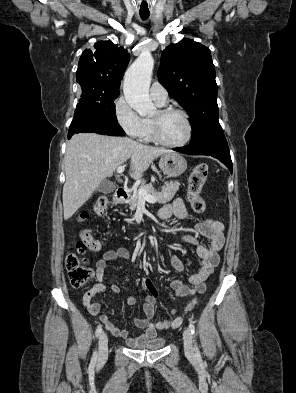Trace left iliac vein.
<instances>
[{
  "label": "left iliac vein",
  "mask_w": 296,
  "mask_h": 393,
  "mask_svg": "<svg viewBox=\"0 0 296 393\" xmlns=\"http://www.w3.org/2000/svg\"><path fill=\"white\" fill-rule=\"evenodd\" d=\"M183 340H184V349L186 355L192 356L194 354V351H193V343H192V333L189 329H186L184 331Z\"/></svg>",
  "instance_id": "obj_1"
}]
</instances>
